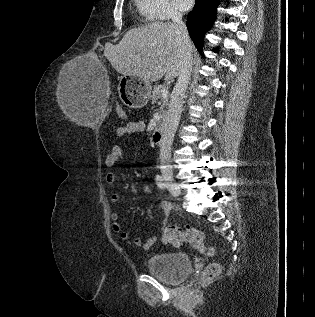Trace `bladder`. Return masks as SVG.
Wrapping results in <instances>:
<instances>
[{
	"mask_svg": "<svg viewBox=\"0 0 315 317\" xmlns=\"http://www.w3.org/2000/svg\"><path fill=\"white\" fill-rule=\"evenodd\" d=\"M146 268L151 275L163 281L178 283L189 275L191 263L183 253H161L150 257Z\"/></svg>",
	"mask_w": 315,
	"mask_h": 317,
	"instance_id": "1",
	"label": "bladder"
}]
</instances>
